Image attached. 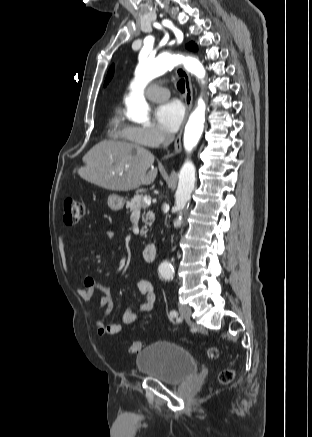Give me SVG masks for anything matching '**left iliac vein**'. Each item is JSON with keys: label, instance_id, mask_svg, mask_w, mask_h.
Listing matches in <instances>:
<instances>
[{"label": "left iliac vein", "instance_id": "left-iliac-vein-1", "mask_svg": "<svg viewBox=\"0 0 312 437\" xmlns=\"http://www.w3.org/2000/svg\"><path fill=\"white\" fill-rule=\"evenodd\" d=\"M179 312H180V315L183 319H185V320L191 319L192 310L189 306L179 305Z\"/></svg>", "mask_w": 312, "mask_h": 437}]
</instances>
